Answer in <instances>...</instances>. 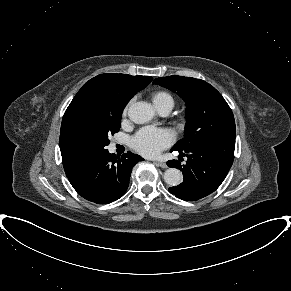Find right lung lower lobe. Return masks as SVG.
<instances>
[{
	"label": "right lung lower lobe",
	"mask_w": 291,
	"mask_h": 291,
	"mask_svg": "<svg viewBox=\"0 0 291 291\" xmlns=\"http://www.w3.org/2000/svg\"><path fill=\"white\" fill-rule=\"evenodd\" d=\"M140 160L143 158L131 152L115 157L107 150L67 177L80 196L97 204H106L125 194L132 168Z\"/></svg>",
	"instance_id": "right-lung-lower-lobe-1"
}]
</instances>
